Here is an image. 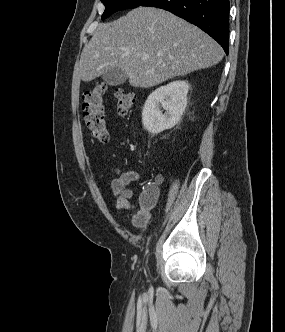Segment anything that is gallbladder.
Segmentation results:
<instances>
[{
    "instance_id": "1",
    "label": "gallbladder",
    "mask_w": 285,
    "mask_h": 332,
    "mask_svg": "<svg viewBox=\"0 0 285 332\" xmlns=\"http://www.w3.org/2000/svg\"><path fill=\"white\" fill-rule=\"evenodd\" d=\"M102 79L111 86H117L125 83L128 76L120 68H112L103 74Z\"/></svg>"
}]
</instances>
